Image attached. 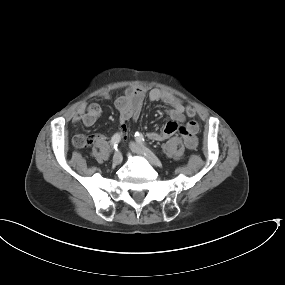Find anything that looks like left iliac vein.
<instances>
[{"label": "left iliac vein", "mask_w": 285, "mask_h": 285, "mask_svg": "<svg viewBox=\"0 0 285 285\" xmlns=\"http://www.w3.org/2000/svg\"><path fill=\"white\" fill-rule=\"evenodd\" d=\"M130 148L134 153L139 154V155H144L154 165H157V166L160 165V163H161L160 160L147 147H145L141 144H138L136 142H131Z\"/></svg>", "instance_id": "left-iliac-vein-1"}]
</instances>
